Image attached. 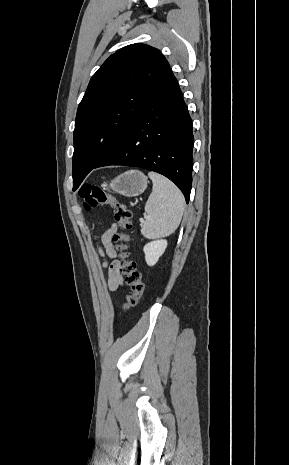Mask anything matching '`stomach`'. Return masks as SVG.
<instances>
[{
	"label": "stomach",
	"mask_w": 289,
	"mask_h": 465,
	"mask_svg": "<svg viewBox=\"0 0 289 465\" xmlns=\"http://www.w3.org/2000/svg\"><path fill=\"white\" fill-rule=\"evenodd\" d=\"M147 183V177L142 172L129 170L113 179L108 187L121 195L134 197L145 191Z\"/></svg>",
	"instance_id": "1"
}]
</instances>
